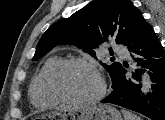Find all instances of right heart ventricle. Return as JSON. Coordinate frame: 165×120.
<instances>
[{
  "mask_svg": "<svg viewBox=\"0 0 165 120\" xmlns=\"http://www.w3.org/2000/svg\"><path fill=\"white\" fill-rule=\"evenodd\" d=\"M59 61L57 56L49 57L38 74L34 77L30 87V97L33 105L39 108L55 106L58 101L50 96L46 89L45 81L51 68Z\"/></svg>",
  "mask_w": 165,
  "mask_h": 120,
  "instance_id": "obj_1",
  "label": "right heart ventricle"
}]
</instances>
